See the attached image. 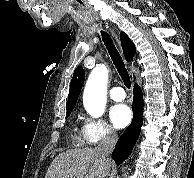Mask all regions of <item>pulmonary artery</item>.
Returning a JSON list of instances; mask_svg holds the SVG:
<instances>
[{"instance_id":"e3ab8cb5","label":"pulmonary artery","mask_w":194,"mask_h":178,"mask_svg":"<svg viewBox=\"0 0 194 178\" xmlns=\"http://www.w3.org/2000/svg\"><path fill=\"white\" fill-rule=\"evenodd\" d=\"M109 95H110L111 99L114 101H122L125 98L124 89L120 86L113 87L109 91Z\"/></svg>"}]
</instances>
